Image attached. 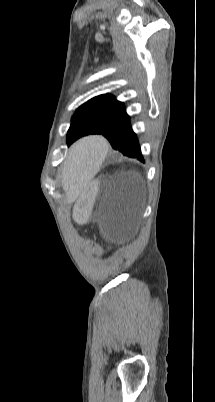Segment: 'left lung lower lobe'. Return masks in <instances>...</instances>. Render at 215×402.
Returning a JSON list of instances; mask_svg holds the SVG:
<instances>
[{"label": "left lung lower lobe", "mask_w": 215, "mask_h": 402, "mask_svg": "<svg viewBox=\"0 0 215 402\" xmlns=\"http://www.w3.org/2000/svg\"><path fill=\"white\" fill-rule=\"evenodd\" d=\"M92 134L105 136L112 147L124 155L144 161L136 134L133 132L125 109Z\"/></svg>", "instance_id": "obj_1"}]
</instances>
